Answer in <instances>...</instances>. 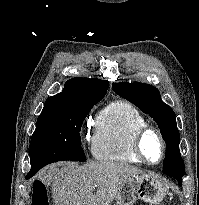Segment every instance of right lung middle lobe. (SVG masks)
<instances>
[{
    "label": "right lung middle lobe",
    "mask_w": 199,
    "mask_h": 205,
    "mask_svg": "<svg viewBox=\"0 0 199 205\" xmlns=\"http://www.w3.org/2000/svg\"><path fill=\"white\" fill-rule=\"evenodd\" d=\"M99 101L82 100L42 111L31 138V170L27 175L33 176L45 165L61 160L86 161L79 132L87 114Z\"/></svg>",
    "instance_id": "obj_1"
}]
</instances>
